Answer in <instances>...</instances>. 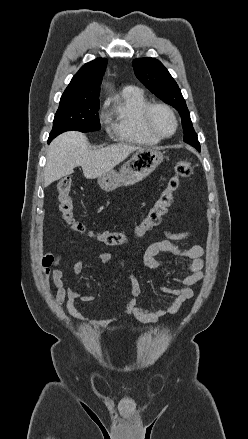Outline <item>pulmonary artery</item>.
Listing matches in <instances>:
<instances>
[{"mask_svg":"<svg viewBox=\"0 0 248 439\" xmlns=\"http://www.w3.org/2000/svg\"><path fill=\"white\" fill-rule=\"evenodd\" d=\"M134 87L133 86H126L124 89H123V91H129V90H131V89H133Z\"/></svg>","mask_w":248,"mask_h":439,"instance_id":"obj_1","label":"pulmonary artery"}]
</instances>
